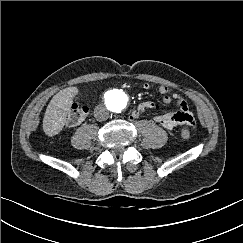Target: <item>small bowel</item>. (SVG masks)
I'll return each instance as SVG.
<instances>
[{
	"label": "small bowel",
	"instance_id": "1",
	"mask_svg": "<svg viewBox=\"0 0 243 243\" xmlns=\"http://www.w3.org/2000/svg\"><path fill=\"white\" fill-rule=\"evenodd\" d=\"M152 87L153 85L150 83H145L143 85V88L146 90H149ZM159 92L163 96L164 103L168 104L175 100L179 111L157 115L154 118L155 122L166 129H172L178 125H187L191 128H194L196 124L195 119L192 112L189 110L187 101L168 86H160ZM156 107L157 104L155 102L145 101L137 106L135 111L132 113V116L133 118H137L146 110L154 109Z\"/></svg>",
	"mask_w": 243,
	"mask_h": 243
}]
</instances>
